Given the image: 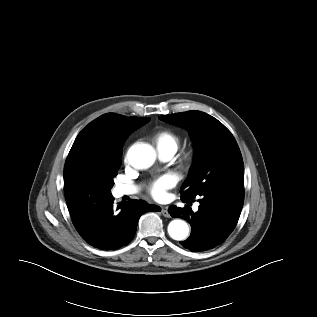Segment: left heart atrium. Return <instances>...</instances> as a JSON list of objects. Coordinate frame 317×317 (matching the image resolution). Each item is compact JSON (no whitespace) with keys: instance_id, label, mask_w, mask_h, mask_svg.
Here are the masks:
<instances>
[{"instance_id":"1","label":"left heart atrium","mask_w":317,"mask_h":317,"mask_svg":"<svg viewBox=\"0 0 317 317\" xmlns=\"http://www.w3.org/2000/svg\"><path fill=\"white\" fill-rule=\"evenodd\" d=\"M175 183V178L172 175H163L150 184L149 192L153 198L162 200L166 197L167 190L172 188Z\"/></svg>"}]
</instances>
